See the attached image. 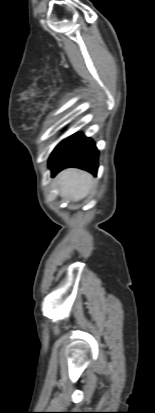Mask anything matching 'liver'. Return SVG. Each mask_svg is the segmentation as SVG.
I'll return each mask as SVG.
<instances>
[{
  "label": "liver",
  "mask_w": 155,
  "mask_h": 413,
  "mask_svg": "<svg viewBox=\"0 0 155 413\" xmlns=\"http://www.w3.org/2000/svg\"><path fill=\"white\" fill-rule=\"evenodd\" d=\"M60 196L79 201L87 196L92 188V176L84 171L69 168L58 175Z\"/></svg>",
  "instance_id": "liver-1"
}]
</instances>
